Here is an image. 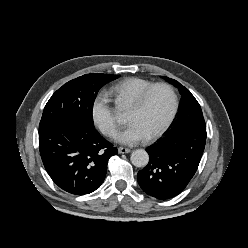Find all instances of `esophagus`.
Returning a JSON list of instances; mask_svg holds the SVG:
<instances>
[{
	"label": "esophagus",
	"instance_id": "1",
	"mask_svg": "<svg viewBox=\"0 0 248 248\" xmlns=\"http://www.w3.org/2000/svg\"><path fill=\"white\" fill-rule=\"evenodd\" d=\"M118 152H119L120 154H126V153H130V152H131V149L125 148V147H119V148H118Z\"/></svg>",
	"mask_w": 248,
	"mask_h": 248
}]
</instances>
